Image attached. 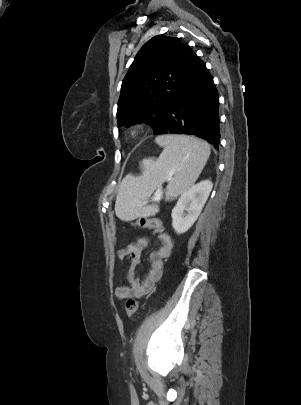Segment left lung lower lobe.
I'll use <instances>...</instances> for the list:
<instances>
[{
    "mask_svg": "<svg viewBox=\"0 0 301 405\" xmlns=\"http://www.w3.org/2000/svg\"><path fill=\"white\" fill-rule=\"evenodd\" d=\"M218 108L219 97L213 78L205 64L194 54L188 73L155 134L197 136L218 149Z\"/></svg>",
    "mask_w": 301,
    "mask_h": 405,
    "instance_id": "obj_1",
    "label": "left lung lower lobe"
}]
</instances>
